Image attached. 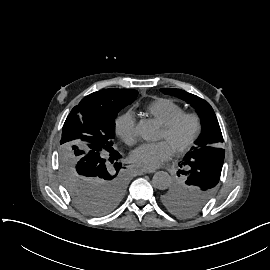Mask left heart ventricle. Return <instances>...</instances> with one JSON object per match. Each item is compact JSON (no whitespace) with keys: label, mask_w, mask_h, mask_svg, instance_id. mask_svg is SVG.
<instances>
[{"label":"left heart ventricle","mask_w":270,"mask_h":270,"mask_svg":"<svg viewBox=\"0 0 270 270\" xmlns=\"http://www.w3.org/2000/svg\"><path fill=\"white\" fill-rule=\"evenodd\" d=\"M193 129V124L191 121L183 122L177 131L175 132L174 136H170L164 128H162L159 140H169L173 144L176 145L177 142H185L190 137V134Z\"/></svg>","instance_id":"obj_1"}]
</instances>
